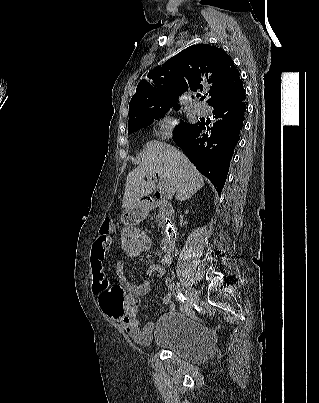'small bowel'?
<instances>
[{"label": "small bowel", "instance_id": "obj_1", "mask_svg": "<svg viewBox=\"0 0 319 403\" xmlns=\"http://www.w3.org/2000/svg\"><path fill=\"white\" fill-rule=\"evenodd\" d=\"M112 230L113 224L111 221L103 222L99 236L92 247L90 258L93 280L92 289L98 296L102 313H106L109 318L119 321L126 333L135 342L148 344L152 340L155 326L152 323H147L144 326L139 324L137 320V308L140 303V297L150 292V279L153 276L159 275L163 277L166 274V268L171 266L172 258L170 255H164L160 264H150L147 269L148 280L143 282H130L127 280L124 272L120 270L118 273V281L120 284H108L104 268V254L109 246V234ZM126 290L128 292L127 295ZM170 302L171 297L169 291L163 298V303L170 304Z\"/></svg>", "mask_w": 319, "mask_h": 403}]
</instances>
